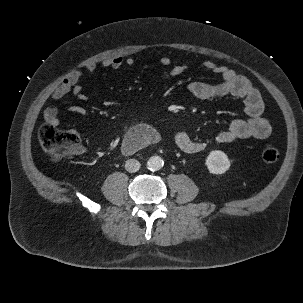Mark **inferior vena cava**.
Wrapping results in <instances>:
<instances>
[{"label":"inferior vena cava","mask_w":303,"mask_h":303,"mask_svg":"<svg viewBox=\"0 0 303 303\" xmlns=\"http://www.w3.org/2000/svg\"><path fill=\"white\" fill-rule=\"evenodd\" d=\"M140 167H141V164L136 159H129L125 163V169L131 173L137 172L140 169Z\"/></svg>","instance_id":"1"}]
</instances>
